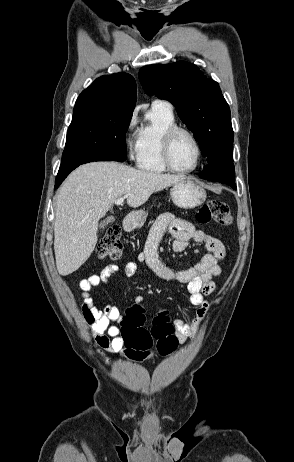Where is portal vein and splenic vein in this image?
I'll return each instance as SVG.
<instances>
[{
  "instance_id": "portal-vein-and-splenic-vein-1",
  "label": "portal vein and splenic vein",
  "mask_w": 294,
  "mask_h": 462,
  "mask_svg": "<svg viewBox=\"0 0 294 462\" xmlns=\"http://www.w3.org/2000/svg\"><path fill=\"white\" fill-rule=\"evenodd\" d=\"M125 198H127L126 195L123 196V197H120V198L116 199V200H115V204H116V205H121V204L123 203V201H124Z\"/></svg>"
}]
</instances>
